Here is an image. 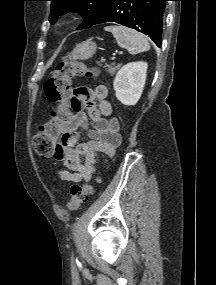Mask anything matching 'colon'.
I'll list each match as a JSON object with an SVG mask.
<instances>
[{
  "mask_svg": "<svg viewBox=\"0 0 216 285\" xmlns=\"http://www.w3.org/2000/svg\"><path fill=\"white\" fill-rule=\"evenodd\" d=\"M95 68L87 67L81 61H67L57 65L54 74L45 83L47 99L55 104L50 113V120L42 125L33 137V147L43 159L54 156L61 129L66 124L72 110L74 93L71 80L76 76L93 77ZM99 178H95V183ZM94 192V184L73 185L71 196L67 202L69 210H77Z\"/></svg>",
  "mask_w": 216,
  "mask_h": 285,
  "instance_id": "5ec220e1",
  "label": "colon"
}]
</instances>
